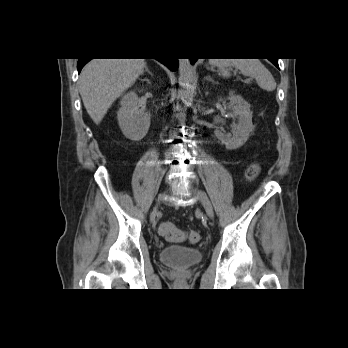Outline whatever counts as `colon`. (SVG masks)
Wrapping results in <instances>:
<instances>
[{
    "mask_svg": "<svg viewBox=\"0 0 348 348\" xmlns=\"http://www.w3.org/2000/svg\"><path fill=\"white\" fill-rule=\"evenodd\" d=\"M260 172L258 164H252L246 172L248 180H254ZM158 232L161 237L169 241H183L187 239L191 244H196L200 240V235L197 231L190 230L188 232L178 229L172 222H162L159 224Z\"/></svg>",
    "mask_w": 348,
    "mask_h": 348,
    "instance_id": "obj_1",
    "label": "colon"
}]
</instances>
